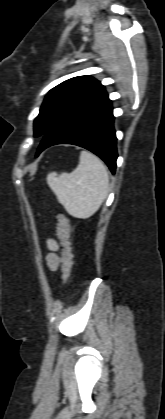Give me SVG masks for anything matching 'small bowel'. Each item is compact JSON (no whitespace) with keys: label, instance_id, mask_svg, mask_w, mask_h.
Listing matches in <instances>:
<instances>
[{"label":"small bowel","instance_id":"small-bowel-1","mask_svg":"<svg viewBox=\"0 0 165 419\" xmlns=\"http://www.w3.org/2000/svg\"><path fill=\"white\" fill-rule=\"evenodd\" d=\"M47 246L49 249V252L46 255L47 265L51 270H57L61 263V259L58 255L59 244L56 240L49 239L47 241Z\"/></svg>","mask_w":165,"mask_h":419}]
</instances>
